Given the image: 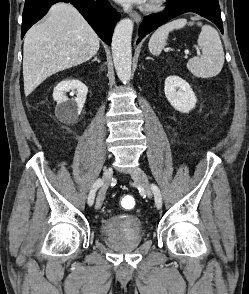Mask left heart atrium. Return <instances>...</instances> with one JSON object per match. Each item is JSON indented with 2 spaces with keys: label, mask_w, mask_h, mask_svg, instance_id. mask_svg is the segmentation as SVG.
Here are the masks:
<instances>
[{
  "label": "left heart atrium",
  "mask_w": 249,
  "mask_h": 294,
  "mask_svg": "<svg viewBox=\"0 0 249 294\" xmlns=\"http://www.w3.org/2000/svg\"><path fill=\"white\" fill-rule=\"evenodd\" d=\"M122 4H143L147 0H116Z\"/></svg>",
  "instance_id": "left-heart-atrium-1"
}]
</instances>
